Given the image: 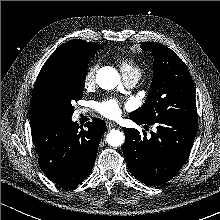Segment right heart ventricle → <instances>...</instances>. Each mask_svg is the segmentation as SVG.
<instances>
[{
    "label": "right heart ventricle",
    "mask_w": 220,
    "mask_h": 220,
    "mask_svg": "<svg viewBox=\"0 0 220 220\" xmlns=\"http://www.w3.org/2000/svg\"><path fill=\"white\" fill-rule=\"evenodd\" d=\"M120 69L124 76L141 75V69L127 57L118 58Z\"/></svg>",
    "instance_id": "right-heart-ventricle-1"
}]
</instances>
